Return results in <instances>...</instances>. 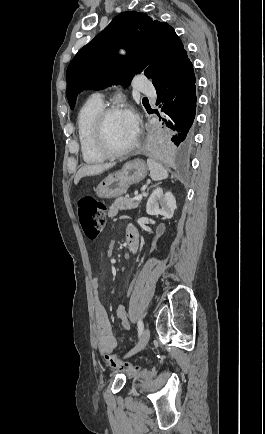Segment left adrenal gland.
Here are the masks:
<instances>
[{
  "instance_id": "1",
  "label": "left adrenal gland",
  "mask_w": 265,
  "mask_h": 434,
  "mask_svg": "<svg viewBox=\"0 0 265 434\" xmlns=\"http://www.w3.org/2000/svg\"><path fill=\"white\" fill-rule=\"evenodd\" d=\"M156 186H158V184H155V186H150V188H156ZM150 188H147L146 196H144V198H147Z\"/></svg>"
}]
</instances>
